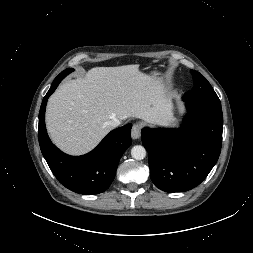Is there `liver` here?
I'll return each mask as SVG.
<instances>
[{"label":"liver","instance_id":"obj_1","mask_svg":"<svg viewBox=\"0 0 253 253\" xmlns=\"http://www.w3.org/2000/svg\"><path fill=\"white\" fill-rule=\"evenodd\" d=\"M172 110L162 80L141 72L138 64L95 67L84 78L65 82L51 95L46 126L61 150L81 155L109 133L110 120L139 118L165 124Z\"/></svg>","mask_w":253,"mask_h":253}]
</instances>
